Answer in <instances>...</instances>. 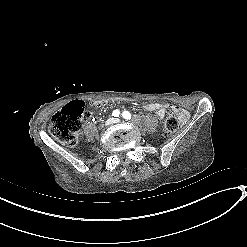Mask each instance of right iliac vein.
Returning <instances> with one entry per match:
<instances>
[{"label": "right iliac vein", "mask_w": 247, "mask_h": 247, "mask_svg": "<svg viewBox=\"0 0 247 247\" xmlns=\"http://www.w3.org/2000/svg\"><path fill=\"white\" fill-rule=\"evenodd\" d=\"M112 123H114V119H113V118H110V119H108V120L105 122V125L108 126V125H111Z\"/></svg>", "instance_id": "63e3f726"}]
</instances>
